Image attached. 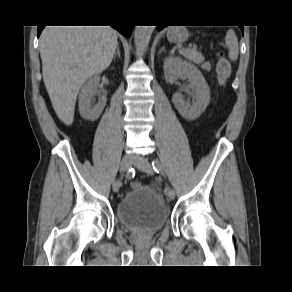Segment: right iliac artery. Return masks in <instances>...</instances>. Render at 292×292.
I'll list each match as a JSON object with an SVG mask.
<instances>
[{
  "label": "right iliac artery",
  "mask_w": 292,
  "mask_h": 292,
  "mask_svg": "<svg viewBox=\"0 0 292 292\" xmlns=\"http://www.w3.org/2000/svg\"><path fill=\"white\" fill-rule=\"evenodd\" d=\"M134 175H135V171H134V169H129L128 170V172H127V174H126V178L127 179H132L133 177H134ZM122 182H121V179H118V184L120 185Z\"/></svg>",
  "instance_id": "obj_1"
}]
</instances>
